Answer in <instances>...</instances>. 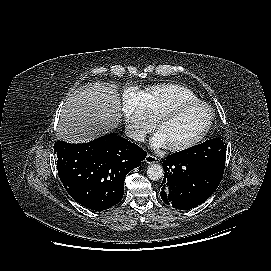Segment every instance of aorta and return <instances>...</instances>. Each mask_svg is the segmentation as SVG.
Wrapping results in <instances>:
<instances>
[{"mask_svg": "<svg viewBox=\"0 0 271 271\" xmlns=\"http://www.w3.org/2000/svg\"><path fill=\"white\" fill-rule=\"evenodd\" d=\"M164 175V170L159 164H151L147 168V176L153 181H157Z\"/></svg>", "mask_w": 271, "mask_h": 271, "instance_id": "1", "label": "aorta"}]
</instances>
